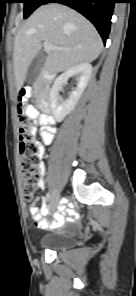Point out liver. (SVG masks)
Returning a JSON list of instances; mask_svg holds the SVG:
<instances>
[{
    "mask_svg": "<svg viewBox=\"0 0 136 296\" xmlns=\"http://www.w3.org/2000/svg\"><path fill=\"white\" fill-rule=\"evenodd\" d=\"M42 42L61 48L48 50L44 59V70L52 75L94 61L103 48L99 33L83 15L59 3L42 5L15 36L13 63L17 91L22 88Z\"/></svg>",
    "mask_w": 136,
    "mask_h": 296,
    "instance_id": "obj_1",
    "label": "liver"
}]
</instances>
